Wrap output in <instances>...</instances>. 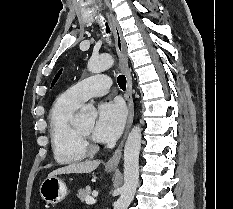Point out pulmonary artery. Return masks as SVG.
<instances>
[{"instance_id":"pulmonary-artery-1","label":"pulmonary artery","mask_w":233,"mask_h":209,"mask_svg":"<svg viewBox=\"0 0 233 209\" xmlns=\"http://www.w3.org/2000/svg\"><path fill=\"white\" fill-rule=\"evenodd\" d=\"M110 85L111 80L108 76L95 75L74 84L66 92L71 100L81 105L91 97L108 93Z\"/></svg>"}]
</instances>
